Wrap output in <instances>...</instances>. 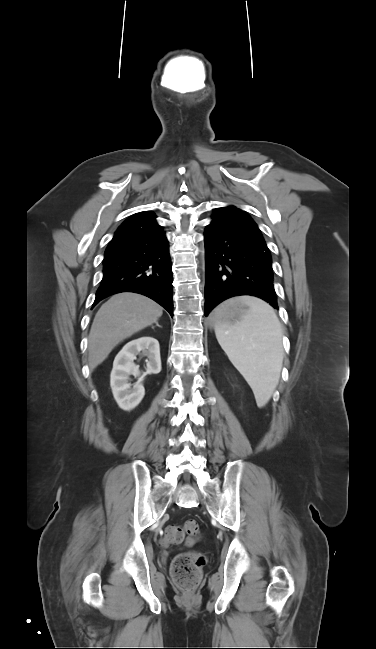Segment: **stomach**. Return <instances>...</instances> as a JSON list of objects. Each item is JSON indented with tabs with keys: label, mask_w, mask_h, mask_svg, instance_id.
<instances>
[{
	"label": "stomach",
	"mask_w": 376,
	"mask_h": 649,
	"mask_svg": "<svg viewBox=\"0 0 376 649\" xmlns=\"http://www.w3.org/2000/svg\"><path fill=\"white\" fill-rule=\"evenodd\" d=\"M237 299H230L215 310L211 317V322L214 326L218 324H233L247 313V305L240 303Z\"/></svg>",
	"instance_id": "1"
}]
</instances>
